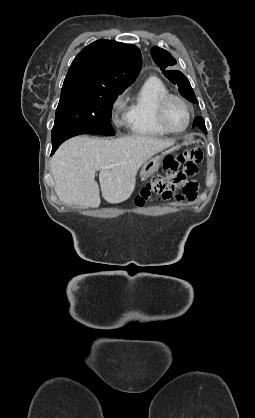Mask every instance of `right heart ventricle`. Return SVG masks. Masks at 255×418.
<instances>
[{
	"label": "right heart ventricle",
	"mask_w": 255,
	"mask_h": 418,
	"mask_svg": "<svg viewBox=\"0 0 255 418\" xmlns=\"http://www.w3.org/2000/svg\"><path fill=\"white\" fill-rule=\"evenodd\" d=\"M167 93V86L157 77H149L142 83L126 113V124L133 135L161 136L168 133L156 117L158 101Z\"/></svg>",
	"instance_id": "e07e8e85"
}]
</instances>
